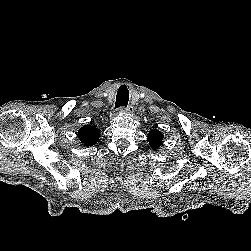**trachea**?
<instances>
[{"mask_svg": "<svg viewBox=\"0 0 251 251\" xmlns=\"http://www.w3.org/2000/svg\"><path fill=\"white\" fill-rule=\"evenodd\" d=\"M129 100V91L125 85H121L117 91L115 108L126 107Z\"/></svg>", "mask_w": 251, "mask_h": 251, "instance_id": "3493384b", "label": "trachea"}]
</instances>
